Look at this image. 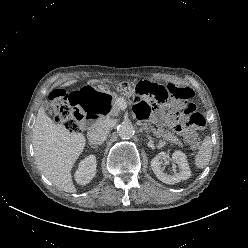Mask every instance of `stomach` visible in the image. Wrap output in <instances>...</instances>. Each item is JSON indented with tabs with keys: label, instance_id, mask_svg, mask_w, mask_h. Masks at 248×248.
Here are the masks:
<instances>
[{
	"label": "stomach",
	"instance_id": "1",
	"mask_svg": "<svg viewBox=\"0 0 248 248\" xmlns=\"http://www.w3.org/2000/svg\"><path fill=\"white\" fill-rule=\"evenodd\" d=\"M70 103L78 111H88L99 118H108L116 110V101L105 89L78 86L70 94Z\"/></svg>",
	"mask_w": 248,
	"mask_h": 248
}]
</instances>
